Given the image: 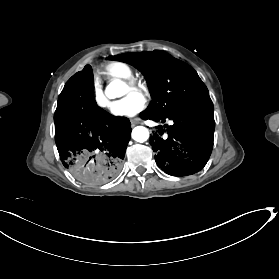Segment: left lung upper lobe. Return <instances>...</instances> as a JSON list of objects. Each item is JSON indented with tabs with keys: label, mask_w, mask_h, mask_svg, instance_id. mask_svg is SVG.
<instances>
[{
	"label": "left lung upper lobe",
	"mask_w": 279,
	"mask_h": 279,
	"mask_svg": "<svg viewBox=\"0 0 279 279\" xmlns=\"http://www.w3.org/2000/svg\"><path fill=\"white\" fill-rule=\"evenodd\" d=\"M107 59L128 63L145 76L152 96L147 114L166 116L209 97L196 71L165 52L124 53Z\"/></svg>",
	"instance_id": "left-lung-upper-lobe-1"
}]
</instances>
